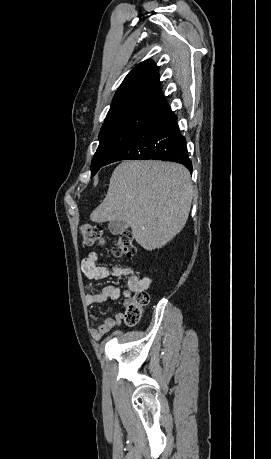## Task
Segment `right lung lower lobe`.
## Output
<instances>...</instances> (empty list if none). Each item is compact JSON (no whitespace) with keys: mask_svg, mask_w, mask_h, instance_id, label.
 Segmentation results:
<instances>
[{"mask_svg":"<svg viewBox=\"0 0 271 459\" xmlns=\"http://www.w3.org/2000/svg\"><path fill=\"white\" fill-rule=\"evenodd\" d=\"M163 160L183 164L192 172L186 139L179 132L177 117L170 107L135 132L107 160Z\"/></svg>","mask_w":271,"mask_h":459,"instance_id":"right-lung-lower-lobe-1","label":"right lung lower lobe"}]
</instances>
